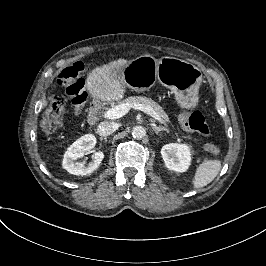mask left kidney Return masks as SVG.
I'll return each mask as SVG.
<instances>
[{"label":"left kidney","mask_w":266,"mask_h":266,"mask_svg":"<svg viewBox=\"0 0 266 266\" xmlns=\"http://www.w3.org/2000/svg\"><path fill=\"white\" fill-rule=\"evenodd\" d=\"M161 155L169 170L185 172L191 164V147L187 144H166L161 149Z\"/></svg>","instance_id":"obj_1"}]
</instances>
